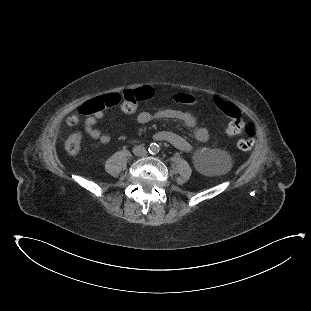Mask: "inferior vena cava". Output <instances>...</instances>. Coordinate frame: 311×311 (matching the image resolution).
<instances>
[{"label": "inferior vena cava", "mask_w": 311, "mask_h": 311, "mask_svg": "<svg viewBox=\"0 0 311 311\" xmlns=\"http://www.w3.org/2000/svg\"><path fill=\"white\" fill-rule=\"evenodd\" d=\"M135 149H140L141 152H140V153H135ZM133 152H134V154L137 155V156H142V155L146 154V150H145V148L142 147V146L134 147Z\"/></svg>", "instance_id": "inferior-vena-cava-1"}]
</instances>
